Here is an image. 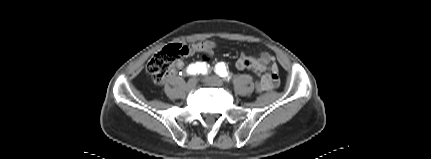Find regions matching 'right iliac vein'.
Instances as JSON below:
<instances>
[{
	"instance_id": "63e3f726",
	"label": "right iliac vein",
	"mask_w": 431,
	"mask_h": 159,
	"mask_svg": "<svg viewBox=\"0 0 431 159\" xmlns=\"http://www.w3.org/2000/svg\"><path fill=\"white\" fill-rule=\"evenodd\" d=\"M197 83H198V81H197V79H196V78H191V79H189V80H188V82H187V88H188V89H193V88H195V87H196Z\"/></svg>"
}]
</instances>
